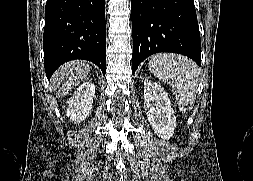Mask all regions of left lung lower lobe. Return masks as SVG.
Returning a JSON list of instances; mask_svg holds the SVG:
<instances>
[{"instance_id": "obj_1", "label": "left lung lower lobe", "mask_w": 253, "mask_h": 181, "mask_svg": "<svg viewBox=\"0 0 253 181\" xmlns=\"http://www.w3.org/2000/svg\"><path fill=\"white\" fill-rule=\"evenodd\" d=\"M133 67L158 52H174L201 65V41L193 0H131Z\"/></svg>"}]
</instances>
